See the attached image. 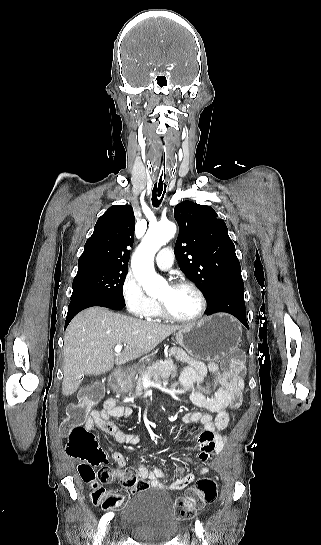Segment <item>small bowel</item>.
<instances>
[{
	"label": "small bowel",
	"instance_id": "1",
	"mask_svg": "<svg viewBox=\"0 0 321 545\" xmlns=\"http://www.w3.org/2000/svg\"><path fill=\"white\" fill-rule=\"evenodd\" d=\"M188 363V367L180 375L179 385L189 393L191 402L203 409V411H190L184 416L183 420L187 425L199 424L202 427V431L197 434L196 448L199 450V460L208 462L212 454H219L224 447L226 438L222 435V431L226 429L229 423L228 409H236L241 405L243 382L240 378L222 372L215 362L206 365L203 362L189 359ZM209 372L215 375V383L220 385V388L212 396H206L196 387L198 383L207 382ZM131 412L129 407L120 404L114 398H109L104 402L100 410L91 411L85 421V427L88 430L98 427L113 436L119 444L136 446L139 444L140 438L137 435L124 432L112 421L114 417H128ZM189 431L194 435L196 432L195 427H189ZM110 454L117 465L115 469H110L107 466L108 459L104 454L101 459L86 460L79 465L78 470L82 479L87 482V477L98 476L101 481L109 484L121 482L128 471L125 458L113 448H110ZM188 462L189 458L185 457L182 465L176 469L175 474L183 473ZM136 464L137 469L135 472L139 477L148 479L152 487L164 490L184 489L195 480L197 475L206 474L211 466V463H208L197 474L189 473L170 484H166L163 480L168 478V475L162 469L147 467L139 462H136ZM95 467L100 468L98 475L94 470Z\"/></svg>",
	"mask_w": 321,
	"mask_h": 545
}]
</instances>
